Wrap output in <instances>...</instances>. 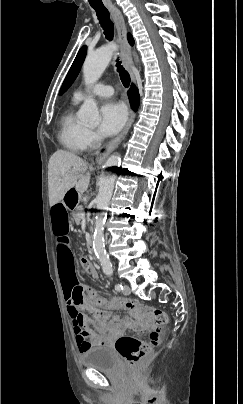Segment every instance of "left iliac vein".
Masks as SVG:
<instances>
[{"instance_id":"left-iliac-vein-1","label":"left iliac vein","mask_w":243,"mask_h":404,"mask_svg":"<svg viewBox=\"0 0 243 404\" xmlns=\"http://www.w3.org/2000/svg\"><path fill=\"white\" fill-rule=\"evenodd\" d=\"M122 292L124 295H129L131 293V289L128 285H124Z\"/></svg>"}]
</instances>
